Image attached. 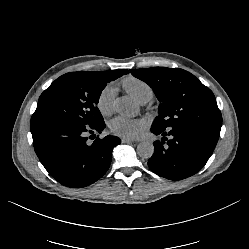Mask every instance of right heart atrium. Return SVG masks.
<instances>
[{
	"mask_svg": "<svg viewBox=\"0 0 249 249\" xmlns=\"http://www.w3.org/2000/svg\"><path fill=\"white\" fill-rule=\"evenodd\" d=\"M116 90L113 85H105L99 92L96 106L99 112L106 116L112 113Z\"/></svg>",
	"mask_w": 249,
	"mask_h": 249,
	"instance_id": "right-heart-atrium-1",
	"label": "right heart atrium"
}]
</instances>
